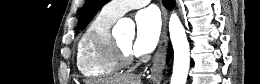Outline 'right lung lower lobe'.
<instances>
[{"instance_id":"right-lung-lower-lobe-1","label":"right lung lower lobe","mask_w":260,"mask_h":84,"mask_svg":"<svg viewBox=\"0 0 260 84\" xmlns=\"http://www.w3.org/2000/svg\"><path fill=\"white\" fill-rule=\"evenodd\" d=\"M164 3L166 7H171L174 4V0H165Z\"/></svg>"}]
</instances>
